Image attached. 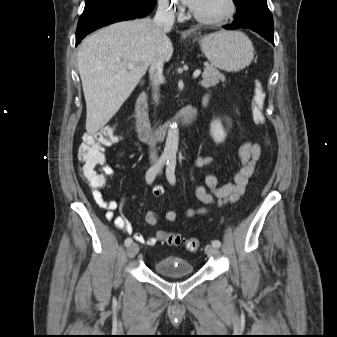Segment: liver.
Wrapping results in <instances>:
<instances>
[{
    "label": "liver",
    "instance_id": "liver-1",
    "mask_svg": "<svg viewBox=\"0 0 337 337\" xmlns=\"http://www.w3.org/2000/svg\"><path fill=\"white\" fill-rule=\"evenodd\" d=\"M169 31L144 18L112 24L82 41L77 64L88 134H95L110 121L150 65L171 59L173 45L166 35ZM129 62L137 65L128 70Z\"/></svg>",
    "mask_w": 337,
    "mask_h": 337
}]
</instances>
